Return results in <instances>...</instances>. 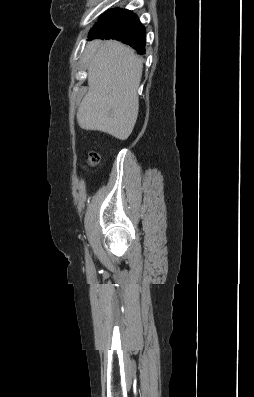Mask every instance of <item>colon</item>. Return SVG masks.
<instances>
[{
	"label": "colon",
	"instance_id": "colon-1",
	"mask_svg": "<svg viewBox=\"0 0 254 397\" xmlns=\"http://www.w3.org/2000/svg\"><path fill=\"white\" fill-rule=\"evenodd\" d=\"M100 161V156L97 152H91L88 158V164L89 165H96Z\"/></svg>",
	"mask_w": 254,
	"mask_h": 397
}]
</instances>
